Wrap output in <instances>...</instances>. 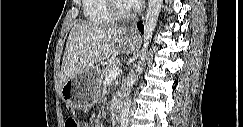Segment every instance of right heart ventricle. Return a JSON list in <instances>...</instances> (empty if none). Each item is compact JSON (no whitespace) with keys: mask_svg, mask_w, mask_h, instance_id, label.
<instances>
[{"mask_svg":"<svg viewBox=\"0 0 243 127\" xmlns=\"http://www.w3.org/2000/svg\"><path fill=\"white\" fill-rule=\"evenodd\" d=\"M83 15L86 21L94 25L109 24L115 17L109 10V0H84Z\"/></svg>","mask_w":243,"mask_h":127,"instance_id":"e07e8e85","label":"right heart ventricle"}]
</instances>
